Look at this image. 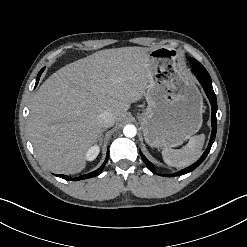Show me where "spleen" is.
<instances>
[{"instance_id": "3e777b00", "label": "spleen", "mask_w": 247, "mask_h": 247, "mask_svg": "<svg viewBox=\"0 0 247 247\" xmlns=\"http://www.w3.org/2000/svg\"><path fill=\"white\" fill-rule=\"evenodd\" d=\"M205 135L193 136L182 149L164 148L162 157L164 162L172 167H187L201 156Z\"/></svg>"}]
</instances>
